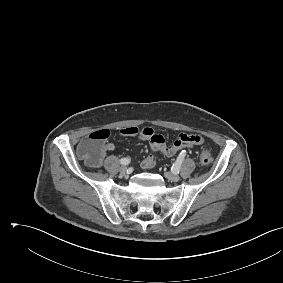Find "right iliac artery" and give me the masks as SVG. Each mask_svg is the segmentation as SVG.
I'll use <instances>...</instances> for the list:
<instances>
[{
  "mask_svg": "<svg viewBox=\"0 0 283 283\" xmlns=\"http://www.w3.org/2000/svg\"><path fill=\"white\" fill-rule=\"evenodd\" d=\"M120 163L121 165H128L130 163V158H122Z\"/></svg>",
  "mask_w": 283,
  "mask_h": 283,
  "instance_id": "1",
  "label": "right iliac artery"
}]
</instances>
